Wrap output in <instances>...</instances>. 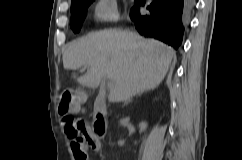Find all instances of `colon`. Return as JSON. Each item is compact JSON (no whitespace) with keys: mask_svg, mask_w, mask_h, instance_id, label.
<instances>
[{"mask_svg":"<svg viewBox=\"0 0 242 160\" xmlns=\"http://www.w3.org/2000/svg\"><path fill=\"white\" fill-rule=\"evenodd\" d=\"M82 97H76L70 89H64L59 94V112L62 114V123L67 135L73 140V146L79 150V160H87V154L80 151V145L86 140V126L83 121L76 120L71 115L79 109ZM98 149V143L92 148Z\"/></svg>","mask_w":242,"mask_h":160,"instance_id":"1","label":"colon"}]
</instances>
